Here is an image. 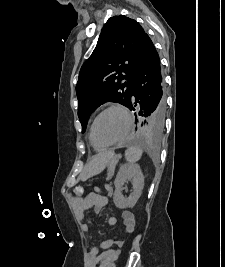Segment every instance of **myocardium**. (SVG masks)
Instances as JSON below:
<instances>
[{
	"mask_svg": "<svg viewBox=\"0 0 225 267\" xmlns=\"http://www.w3.org/2000/svg\"><path fill=\"white\" fill-rule=\"evenodd\" d=\"M111 110H118V111L122 112L125 115V117H126L127 126H126V129H125L124 133L122 134V136L120 138H118L117 140L112 141L110 143L101 144V143H99L96 140V137H95V127H96V124H97V121L99 120V118L103 114H105L106 112L111 111ZM132 126H133V118H132V115H131L130 111L126 107H124L122 105H119V104L109 105V106L105 107L104 109H102L95 116V118L93 119V122H92L91 127H90L91 141H92V143L94 145L99 146V147H102V148H107V147H111V146L120 144V143H122L128 137V135L130 134V132L132 130Z\"/></svg>",
	"mask_w": 225,
	"mask_h": 267,
	"instance_id": "1",
	"label": "myocardium"
}]
</instances>
